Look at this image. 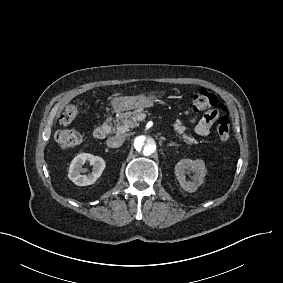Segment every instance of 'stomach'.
<instances>
[{
  "label": "stomach",
  "mask_w": 283,
  "mask_h": 283,
  "mask_svg": "<svg viewBox=\"0 0 283 283\" xmlns=\"http://www.w3.org/2000/svg\"><path fill=\"white\" fill-rule=\"evenodd\" d=\"M163 92H150L148 96H121L112 99L111 104L116 113L128 111L136 108H146L153 106L154 102L161 98Z\"/></svg>",
  "instance_id": "1"
}]
</instances>
